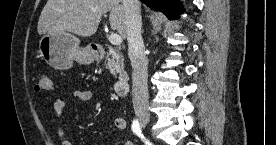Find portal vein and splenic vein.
<instances>
[{
    "mask_svg": "<svg viewBox=\"0 0 276 145\" xmlns=\"http://www.w3.org/2000/svg\"><path fill=\"white\" fill-rule=\"evenodd\" d=\"M108 40L113 45H120L122 43V38L118 34H110Z\"/></svg>",
    "mask_w": 276,
    "mask_h": 145,
    "instance_id": "1",
    "label": "portal vein and splenic vein"
}]
</instances>
